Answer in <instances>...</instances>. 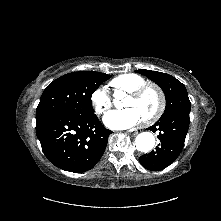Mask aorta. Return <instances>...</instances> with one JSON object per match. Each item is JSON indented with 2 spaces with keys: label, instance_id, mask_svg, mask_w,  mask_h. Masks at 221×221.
<instances>
[{
  "label": "aorta",
  "instance_id": "aorta-1",
  "mask_svg": "<svg viewBox=\"0 0 221 221\" xmlns=\"http://www.w3.org/2000/svg\"><path fill=\"white\" fill-rule=\"evenodd\" d=\"M116 97H119L116 95ZM155 145V137L150 132H142L135 139L136 149L140 152L147 153L153 149Z\"/></svg>",
  "mask_w": 221,
  "mask_h": 221
}]
</instances>
